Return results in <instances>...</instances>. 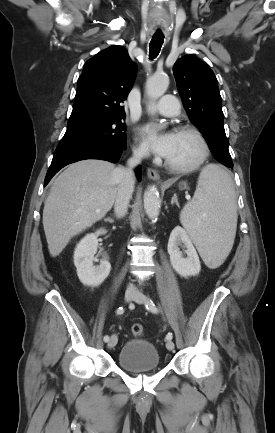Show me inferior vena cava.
Listing matches in <instances>:
<instances>
[{
	"label": "inferior vena cava",
	"mask_w": 275,
	"mask_h": 433,
	"mask_svg": "<svg viewBox=\"0 0 275 433\" xmlns=\"http://www.w3.org/2000/svg\"><path fill=\"white\" fill-rule=\"evenodd\" d=\"M143 155L144 151L134 150L133 157L127 162V167L117 169V174L121 179V185L115 200L114 211L118 218L124 217L127 213L128 204L134 191V168L140 164ZM127 290L135 291V287L131 284L128 286Z\"/></svg>",
	"instance_id": "1"
}]
</instances>
